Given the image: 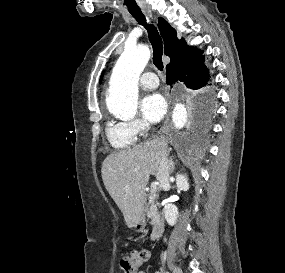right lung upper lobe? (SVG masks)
I'll return each instance as SVG.
<instances>
[{
	"label": "right lung upper lobe",
	"instance_id": "right-lung-upper-lobe-1",
	"mask_svg": "<svg viewBox=\"0 0 285 273\" xmlns=\"http://www.w3.org/2000/svg\"><path fill=\"white\" fill-rule=\"evenodd\" d=\"M159 30L164 40V51L171 61L166 67L175 66L201 53L196 47L187 46L184 39L179 40L174 28L163 18H159Z\"/></svg>",
	"mask_w": 285,
	"mask_h": 273
}]
</instances>
